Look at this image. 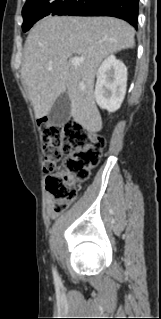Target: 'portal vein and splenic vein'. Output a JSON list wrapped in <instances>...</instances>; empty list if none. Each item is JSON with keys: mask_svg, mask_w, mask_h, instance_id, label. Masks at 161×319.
<instances>
[{"mask_svg": "<svg viewBox=\"0 0 161 319\" xmlns=\"http://www.w3.org/2000/svg\"><path fill=\"white\" fill-rule=\"evenodd\" d=\"M83 59L78 58V57H74L70 60V63L72 66H78L80 65V63H82Z\"/></svg>", "mask_w": 161, "mask_h": 319, "instance_id": "1", "label": "portal vein and splenic vein"}]
</instances>
